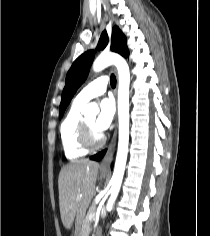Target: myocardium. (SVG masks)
<instances>
[{
    "label": "myocardium",
    "instance_id": "f54148a6",
    "mask_svg": "<svg viewBox=\"0 0 210 236\" xmlns=\"http://www.w3.org/2000/svg\"><path fill=\"white\" fill-rule=\"evenodd\" d=\"M105 142L104 136L89 125L86 118H83L80 129V143L87 150H94L101 147Z\"/></svg>",
    "mask_w": 210,
    "mask_h": 236
}]
</instances>
